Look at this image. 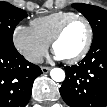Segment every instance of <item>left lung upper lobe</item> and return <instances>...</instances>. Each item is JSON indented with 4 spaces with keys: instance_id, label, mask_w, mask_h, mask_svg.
<instances>
[{
    "instance_id": "5c2ea615",
    "label": "left lung upper lobe",
    "mask_w": 107,
    "mask_h": 107,
    "mask_svg": "<svg viewBox=\"0 0 107 107\" xmlns=\"http://www.w3.org/2000/svg\"><path fill=\"white\" fill-rule=\"evenodd\" d=\"M73 8L81 12L90 22L93 29V42L107 36V11L97 6L74 3Z\"/></svg>"
}]
</instances>
